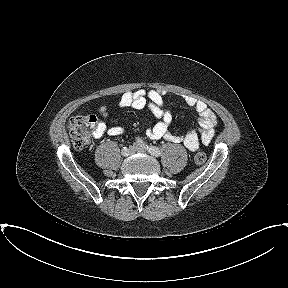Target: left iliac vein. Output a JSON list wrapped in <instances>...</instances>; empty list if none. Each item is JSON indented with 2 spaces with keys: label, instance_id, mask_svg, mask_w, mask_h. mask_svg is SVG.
<instances>
[{
  "label": "left iliac vein",
  "instance_id": "left-iliac-vein-1",
  "mask_svg": "<svg viewBox=\"0 0 288 288\" xmlns=\"http://www.w3.org/2000/svg\"><path fill=\"white\" fill-rule=\"evenodd\" d=\"M133 149H134V151H136V152H141V153L147 152V149H146V148H144L143 146H140V145H138V144L134 145V146H133Z\"/></svg>",
  "mask_w": 288,
  "mask_h": 288
}]
</instances>
